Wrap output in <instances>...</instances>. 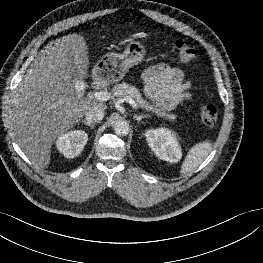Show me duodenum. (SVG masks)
Masks as SVG:
<instances>
[{"label": "duodenum", "instance_id": "duodenum-1", "mask_svg": "<svg viewBox=\"0 0 263 263\" xmlns=\"http://www.w3.org/2000/svg\"><path fill=\"white\" fill-rule=\"evenodd\" d=\"M93 87H94V88H97V87H99V84H98V83H94V84H93Z\"/></svg>", "mask_w": 263, "mask_h": 263}]
</instances>
